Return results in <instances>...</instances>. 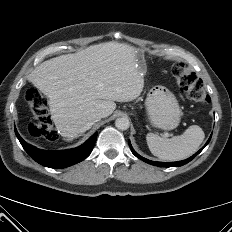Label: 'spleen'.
Here are the masks:
<instances>
[{
  "label": "spleen",
  "instance_id": "3e777b00",
  "mask_svg": "<svg viewBox=\"0 0 232 232\" xmlns=\"http://www.w3.org/2000/svg\"><path fill=\"white\" fill-rule=\"evenodd\" d=\"M204 138L202 128L197 125L188 127L182 135L171 139L154 133H148L146 136L151 153L165 161H178L191 156L197 151Z\"/></svg>",
  "mask_w": 232,
  "mask_h": 232
}]
</instances>
